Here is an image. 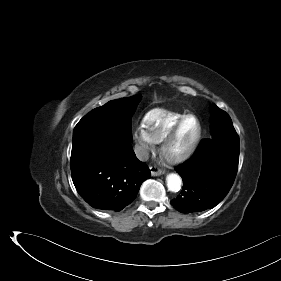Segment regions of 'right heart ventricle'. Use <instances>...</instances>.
I'll return each mask as SVG.
<instances>
[{
    "mask_svg": "<svg viewBox=\"0 0 281 281\" xmlns=\"http://www.w3.org/2000/svg\"><path fill=\"white\" fill-rule=\"evenodd\" d=\"M187 113L155 108L148 111L143 118V127L154 143H159L172 127Z\"/></svg>",
    "mask_w": 281,
    "mask_h": 281,
    "instance_id": "1",
    "label": "right heart ventricle"
}]
</instances>
